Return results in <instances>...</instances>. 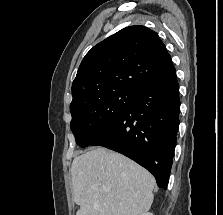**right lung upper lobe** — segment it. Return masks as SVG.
<instances>
[{"mask_svg":"<svg viewBox=\"0 0 223 215\" xmlns=\"http://www.w3.org/2000/svg\"><path fill=\"white\" fill-rule=\"evenodd\" d=\"M175 74L156 32L141 25L126 27L85 55L72 84L70 109L117 90L138 94Z\"/></svg>","mask_w":223,"mask_h":215,"instance_id":"cb5924a9","label":"right lung upper lobe"}]
</instances>
